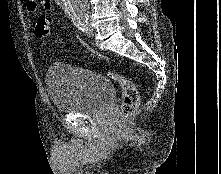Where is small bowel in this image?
<instances>
[{"mask_svg": "<svg viewBox=\"0 0 221 174\" xmlns=\"http://www.w3.org/2000/svg\"><path fill=\"white\" fill-rule=\"evenodd\" d=\"M39 3L46 12L52 10L53 6L51 0H25V7L29 13H34L37 11Z\"/></svg>", "mask_w": 221, "mask_h": 174, "instance_id": "c3829d8e", "label": "small bowel"}]
</instances>
